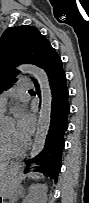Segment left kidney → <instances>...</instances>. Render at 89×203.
Here are the masks:
<instances>
[{
    "label": "left kidney",
    "instance_id": "obj_1",
    "mask_svg": "<svg viewBox=\"0 0 89 203\" xmlns=\"http://www.w3.org/2000/svg\"><path fill=\"white\" fill-rule=\"evenodd\" d=\"M33 188L37 189L35 193H31L32 196H35L33 203H46L47 202L46 184H35ZM23 203H26V201H24Z\"/></svg>",
    "mask_w": 89,
    "mask_h": 203
}]
</instances>
